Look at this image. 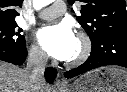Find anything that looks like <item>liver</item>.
Wrapping results in <instances>:
<instances>
[{
    "label": "liver",
    "instance_id": "obj_1",
    "mask_svg": "<svg viewBox=\"0 0 127 92\" xmlns=\"http://www.w3.org/2000/svg\"><path fill=\"white\" fill-rule=\"evenodd\" d=\"M29 77L25 69L0 61V92H51L47 84L34 91Z\"/></svg>",
    "mask_w": 127,
    "mask_h": 92
}]
</instances>
